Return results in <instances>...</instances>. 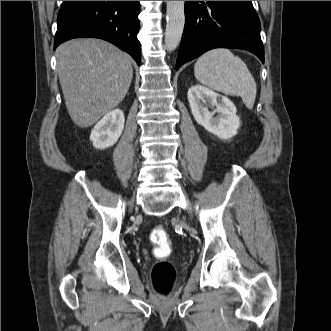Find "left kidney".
<instances>
[{
    "instance_id": "5707ae66",
    "label": "left kidney",
    "mask_w": 331,
    "mask_h": 331,
    "mask_svg": "<svg viewBox=\"0 0 331 331\" xmlns=\"http://www.w3.org/2000/svg\"><path fill=\"white\" fill-rule=\"evenodd\" d=\"M188 101L196 122L222 140L232 138L240 127L235 105L225 96L195 85L188 90ZM208 107H216L209 111ZM215 113L218 116L214 117Z\"/></svg>"
}]
</instances>
